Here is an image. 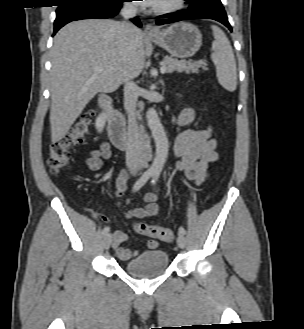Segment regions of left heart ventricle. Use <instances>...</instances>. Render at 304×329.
Returning <instances> with one entry per match:
<instances>
[{"mask_svg":"<svg viewBox=\"0 0 304 329\" xmlns=\"http://www.w3.org/2000/svg\"><path fill=\"white\" fill-rule=\"evenodd\" d=\"M170 1H172V0H159L155 7H160V6L166 5Z\"/></svg>","mask_w":304,"mask_h":329,"instance_id":"obj_1","label":"left heart ventricle"}]
</instances>
